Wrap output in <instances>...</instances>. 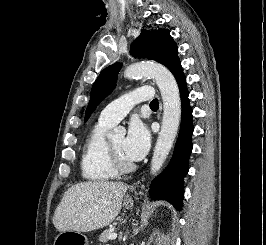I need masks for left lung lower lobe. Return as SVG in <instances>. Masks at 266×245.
<instances>
[{
	"label": "left lung lower lobe",
	"instance_id": "left-lung-lower-lobe-1",
	"mask_svg": "<svg viewBox=\"0 0 266 245\" xmlns=\"http://www.w3.org/2000/svg\"><path fill=\"white\" fill-rule=\"evenodd\" d=\"M177 80L182 102V119L173 157L166 170L151 185L149 194L153 200H167L177 210L182 208L183 178L188 172V159L192 152V109L189 105L186 77L180 61L170 70Z\"/></svg>",
	"mask_w": 266,
	"mask_h": 245
}]
</instances>
